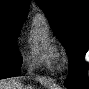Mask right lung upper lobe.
Segmentation results:
<instances>
[{
  "mask_svg": "<svg viewBox=\"0 0 89 89\" xmlns=\"http://www.w3.org/2000/svg\"><path fill=\"white\" fill-rule=\"evenodd\" d=\"M30 0H0V18L23 22Z\"/></svg>",
  "mask_w": 89,
  "mask_h": 89,
  "instance_id": "obj_1",
  "label": "right lung upper lobe"
}]
</instances>
